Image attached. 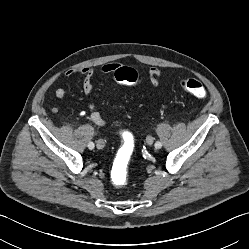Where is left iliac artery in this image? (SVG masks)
<instances>
[{
    "mask_svg": "<svg viewBox=\"0 0 249 249\" xmlns=\"http://www.w3.org/2000/svg\"><path fill=\"white\" fill-rule=\"evenodd\" d=\"M155 147H156L157 149L161 148V147H162V143L159 142V141H157V142L155 143Z\"/></svg>",
    "mask_w": 249,
    "mask_h": 249,
    "instance_id": "obj_1",
    "label": "left iliac artery"
}]
</instances>
